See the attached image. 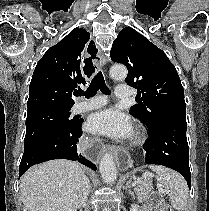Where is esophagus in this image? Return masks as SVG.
<instances>
[{"label":"esophagus","mask_w":209,"mask_h":211,"mask_svg":"<svg viewBox=\"0 0 209 211\" xmlns=\"http://www.w3.org/2000/svg\"><path fill=\"white\" fill-rule=\"evenodd\" d=\"M88 52H85L83 59V75L84 79H93L96 75L97 67L104 66L109 61V55L97 51L96 45H88ZM80 149H84L88 163H97V156H101V152H115V163L119 167V171H126V167L130 166V160L127 156L129 151H116V147L109 144H80Z\"/></svg>","instance_id":"34e87169"}]
</instances>
